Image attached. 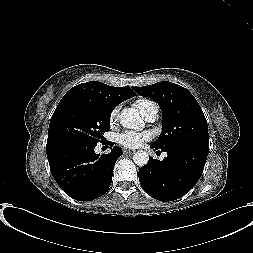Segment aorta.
<instances>
[{"label": "aorta", "instance_id": "762f6f07", "mask_svg": "<svg viewBox=\"0 0 253 253\" xmlns=\"http://www.w3.org/2000/svg\"><path fill=\"white\" fill-rule=\"evenodd\" d=\"M120 124L127 129L141 130L144 127V121L139 116V113L130 108H125L122 110L119 116ZM133 161L138 166H144L149 161V155L144 150H138L133 155Z\"/></svg>", "mask_w": 253, "mask_h": 253}]
</instances>
